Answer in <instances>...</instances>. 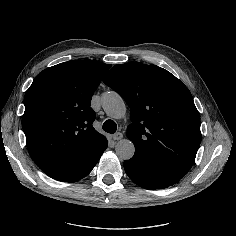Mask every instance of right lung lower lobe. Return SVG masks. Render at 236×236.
<instances>
[{
	"instance_id": "obj_1",
	"label": "right lung lower lobe",
	"mask_w": 236,
	"mask_h": 236,
	"mask_svg": "<svg viewBox=\"0 0 236 236\" xmlns=\"http://www.w3.org/2000/svg\"><path fill=\"white\" fill-rule=\"evenodd\" d=\"M107 148V143L100 148L97 152L91 154L82 164H80L75 170H73L69 175H67L63 180L65 182H76L81 178L87 176L91 170L94 168L98 160L100 159L102 153Z\"/></svg>"
}]
</instances>
